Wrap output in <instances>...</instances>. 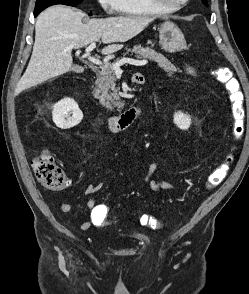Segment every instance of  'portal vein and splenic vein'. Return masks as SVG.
Returning a JSON list of instances; mask_svg holds the SVG:
<instances>
[{
	"label": "portal vein and splenic vein",
	"instance_id": "18ae733b",
	"mask_svg": "<svg viewBox=\"0 0 249 294\" xmlns=\"http://www.w3.org/2000/svg\"><path fill=\"white\" fill-rule=\"evenodd\" d=\"M95 47H96L95 42L90 43V45L86 48V53L89 54ZM88 60L96 65H102V62L94 57L88 56ZM147 63H148L147 60L122 59L119 62L113 64L112 68L115 71V73L121 74L122 70H121L120 66H122L124 64L143 66V65H146ZM106 66H108V65H105V67Z\"/></svg>",
	"mask_w": 249,
	"mask_h": 294
}]
</instances>
